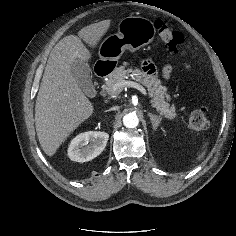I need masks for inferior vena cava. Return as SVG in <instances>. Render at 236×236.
Wrapping results in <instances>:
<instances>
[{
    "label": "inferior vena cava",
    "mask_w": 236,
    "mask_h": 236,
    "mask_svg": "<svg viewBox=\"0 0 236 236\" xmlns=\"http://www.w3.org/2000/svg\"><path fill=\"white\" fill-rule=\"evenodd\" d=\"M119 109V106H113L109 109V111H116Z\"/></svg>",
    "instance_id": "inferior-vena-cava-1"
}]
</instances>
